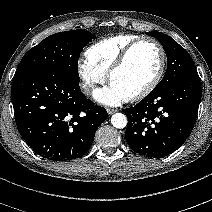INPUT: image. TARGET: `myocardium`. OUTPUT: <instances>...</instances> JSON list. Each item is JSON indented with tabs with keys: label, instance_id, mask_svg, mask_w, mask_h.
Here are the masks:
<instances>
[{
	"label": "myocardium",
	"instance_id": "obj_1",
	"mask_svg": "<svg viewBox=\"0 0 212 212\" xmlns=\"http://www.w3.org/2000/svg\"><path fill=\"white\" fill-rule=\"evenodd\" d=\"M143 43H149V44L153 45L158 50V52L160 54V64H159L158 70H157L156 74L154 75V77L152 78V80L143 89H141L139 92H137L136 94L129 97V99L132 100V101H138V100L145 98L160 83V81L163 77L165 68H166V52H165L163 46L158 41H156L152 38H148V37L138 38V39L134 40L133 42H131L122 51V53L120 54L118 59L111 66V68L109 69V71L107 73L108 81L111 83L112 77L114 76V74L116 72H118L119 70H121L125 66V64L127 63L132 51L137 46H139L140 44H143Z\"/></svg>",
	"mask_w": 212,
	"mask_h": 212
}]
</instances>
